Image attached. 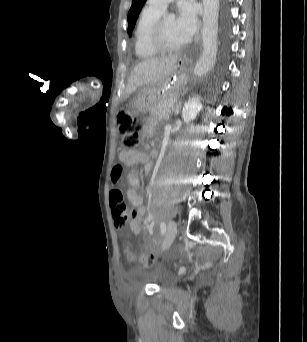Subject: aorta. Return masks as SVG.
I'll use <instances>...</instances> for the list:
<instances>
[{
  "label": "aorta",
  "instance_id": "1",
  "mask_svg": "<svg viewBox=\"0 0 307 342\" xmlns=\"http://www.w3.org/2000/svg\"><path fill=\"white\" fill-rule=\"evenodd\" d=\"M203 6V52L195 66L196 76L205 74L214 66L218 50L219 0H203ZM168 20H175V14H169Z\"/></svg>",
  "mask_w": 307,
  "mask_h": 342
}]
</instances>
